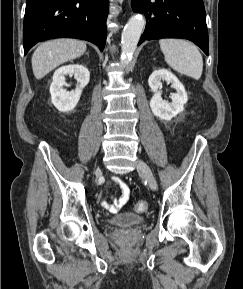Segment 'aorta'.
I'll list each match as a JSON object with an SVG mask.
<instances>
[{
  "mask_svg": "<svg viewBox=\"0 0 243 289\" xmlns=\"http://www.w3.org/2000/svg\"><path fill=\"white\" fill-rule=\"evenodd\" d=\"M145 18L140 15L132 16L122 32L121 62L128 64L136 50L142 31L145 27Z\"/></svg>",
  "mask_w": 243,
  "mask_h": 289,
  "instance_id": "1",
  "label": "aorta"
}]
</instances>
